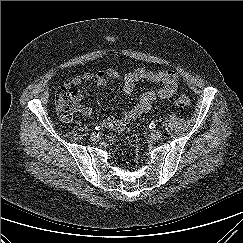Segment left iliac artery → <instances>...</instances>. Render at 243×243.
<instances>
[{
	"label": "left iliac artery",
	"instance_id": "44dca946",
	"mask_svg": "<svg viewBox=\"0 0 243 243\" xmlns=\"http://www.w3.org/2000/svg\"><path fill=\"white\" fill-rule=\"evenodd\" d=\"M149 128H150V129H154V128H156V124H155V123H153V122H152V123H150V124H149Z\"/></svg>",
	"mask_w": 243,
	"mask_h": 243
}]
</instances>
